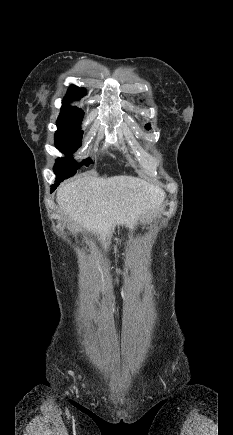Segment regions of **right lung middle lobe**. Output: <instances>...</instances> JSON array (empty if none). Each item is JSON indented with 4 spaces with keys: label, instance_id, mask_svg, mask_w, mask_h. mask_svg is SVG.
<instances>
[{
    "label": "right lung middle lobe",
    "instance_id": "dd1d6c3e",
    "mask_svg": "<svg viewBox=\"0 0 233 435\" xmlns=\"http://www.w3.org/2000/svg\"><path fill=\"white\" fill-rule=\"evenodd\" d=\"M82 118H76L67 122L57 123L58 130L55 133L56 148L67 155L64 158H58L54 166V172L57 176V181L63 180L76 174L77 169L82 166H89L91 159L78 164L71 156L80 146L82 141L83 131L81 130Z\"/></svg>",
    "mask_w": 233,
    "mask_h": 435
}]
</instances>
